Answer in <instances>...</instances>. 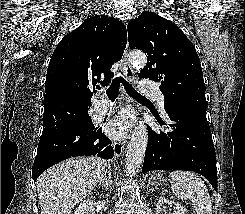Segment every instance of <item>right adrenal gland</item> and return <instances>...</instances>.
<instances>
[{
	"label": "right adrenal gland",
	"mask_w": 245,
	"mask_h": 214,
	"mask_svg": "<svg viewBox=\"0 0 245 214\" xmlns=\"http://www.w3.org/2000/svg\"><path fill=\"white\" fill-rule=\"evenodd\" d=\"M101 182L105 184V188L106 189H108V188H111L112 189L113 180H112L111 167L110 166L108 167V175L106 177H104L101 180Z\"/></svg>",
	"instance_id": "right-adrenal-gland-1"
}]
</instances>
